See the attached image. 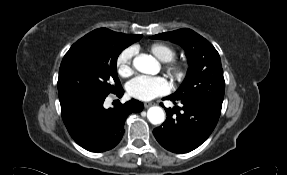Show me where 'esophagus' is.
<instances>
[{"label":"esophagus","mask_w":287,"mask_h":175,"mask_svg":"<svg viewBox=\"0 0 287 175\" xmlns=\"http://www.w3.org/2000/svg\"><path fill=\"white\" fill-rule=\"evenodd\" d=\"M152 105H153L152 102H145V103H144V107H145V108H148V107H150V106H152Z\"/></svg>","instance_id":"obj_1"}]
</instances>
